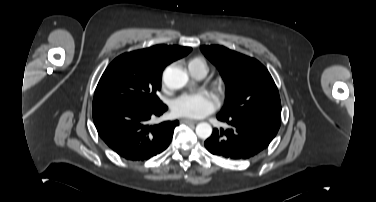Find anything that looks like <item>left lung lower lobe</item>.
I'll use <instances>...</instances> for the list:
<instances>
[{
	"instance_id": "0a47b994",
	"label": "left lung lower lobe",
	"mask_w": 376,
	"mask_h": 202,
	"mask_svg": "<svg viewBox=\"0 0 376 202\" xmlns=\"http://www.w3.org/2000/svg\"><path fill=\"white\" fill-rule=\"evenodd\" d=\"M217 119L229 128H215L204 145L210 153L229 159H247L264 151L280 128V122L258 115L219 113Z\"/></svg>"
}]
</instances>
